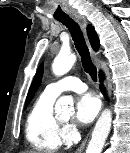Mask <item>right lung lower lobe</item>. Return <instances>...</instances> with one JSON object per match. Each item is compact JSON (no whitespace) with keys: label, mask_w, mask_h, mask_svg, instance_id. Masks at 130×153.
I'll list each match as a JSON object with an SVG mask.
<instances>
[{"label":"right lung lower lobe","mask_w":130,"mask_h":153,"mask_svg":"<svg viewBox=\"0 0 130 153\" xmlns=\"http://www.w3.org/2000/svg\"><path fill=\"white\" fill-rule=\"evenodd\" d=\"M99 77H100V80L102 81V79H103L102 73L99 74ZM100 88H101V91H102V93H103V92H104V87H103V85H101Z\"/></svg>","instance_id":"right-lung-lower-lobe-1"}]
</instances>
